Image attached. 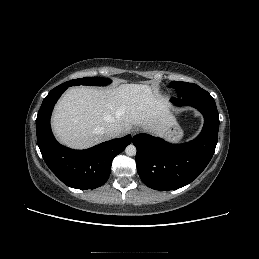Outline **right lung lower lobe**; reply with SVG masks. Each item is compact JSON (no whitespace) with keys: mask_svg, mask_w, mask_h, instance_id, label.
I'll use <instances>...</instances> for the list:
<instances>
[{"mask_svg":"<svg viewBox=\"0 0 259 259\" xmlns=\"http://www.w3.org/2000/svg\"><path fill=\"white\" fill-rule=\"evenodd\" d=\"M67 88L59 85L44 98L36 119L38 146L47 166L64 184L76 189H95L107 181L114 157L131 143L132 138L127 135L87 150L60 145L52 134L50 117L54 104Z\"/></svg>","mask_w":259,"mask_h":259,"instance_id":"right-lung-lower-lobe-1","label":"right lung lower lobe"}]
</instances>
